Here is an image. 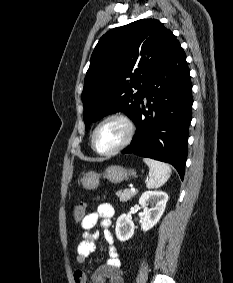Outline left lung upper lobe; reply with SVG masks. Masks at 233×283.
Here are the masks:
<instances>
[{
    "mask_svg": "<svg viewBox=\"0 0 233 283\" xmlns=\"http://www.w3.org/2000/svg\"><path fill=\"white\" fill-rule=\"evenodd\" d=\"M178 42L155 19L137 20L104 34L93 51L84 80L86 130L92 122L118 111L133 119L147 80Z\"/></svg>",
    "mask_w": 233,
    "mask_h": 283,
    "instance_id": "left-lung-upper-lobe-1",
    "label": "left lung upper lobe"
}]
</instances>
